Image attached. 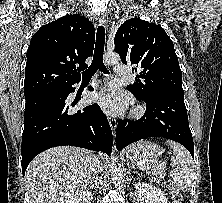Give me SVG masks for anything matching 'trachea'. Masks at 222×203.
I'll list each match as a JSON object with an SVG mask.
<instances>
[{
    "mask_svg": "<svg viewBox=\"0 0 222 203\" xmlns=\"http://www.w3.org/2000/svg\"><path fill=\"white\" fill-rule=\"evenodd\" d=\"M104 44H105V28L104 26H99L97 28L93 61L90 67L82 72L83 80L91 79L97 70H100L105 74L108 73V70L103 63Z\"/></svg>",
    "mask_w": 222,
    "mask_h": 203,
    "instance_id": "trachea-1",
    "label": "trachea"
}]
</instances>
